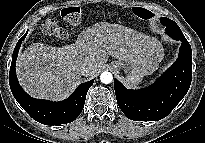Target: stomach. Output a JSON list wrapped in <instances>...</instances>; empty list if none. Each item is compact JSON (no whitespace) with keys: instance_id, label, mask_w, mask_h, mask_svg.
I'll return each instance as SVG.
<instances>
[{"instance_id":"0dacf381","label":"stomach","mask_w":205,"mask_h":143,"mask_svg":"<svg viewBox=\"0 0 205 143\" xmlns=\"http://www.w3.org/2000/svg\"><path fill=\"white\" fill-rule=\"evenodd\" d=\"M153 56L156 60H160L162 57V48L157 47ZM111 66L117 70L120 68L124 69V72L127 74L126 83L129 86H136L140 84L144 77L152 71L149 62L122 63L121 61H113Z\"/></svg>"}]
</instances>
